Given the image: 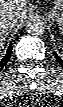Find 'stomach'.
Returning a JSON list of instances; mask_svg holds the SVG:
<instances>
[{
    "mask_svg": "<svg viewBox=\"0 0 63 107\" xmlns=\"http://www.w3.org/2000/svg\"><path fill=\"white\" fill-rule=\"evenodd\" d=\"M48 18L63 26V0H55L47 12Z\"/></svg>",
    "mask_w": 63,
    "mask_h": 107,
    "instance_id": "obj_1",
    "label": "stomach"
}]
</instances>
